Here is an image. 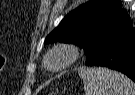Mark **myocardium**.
I'll use <instances>...</instances> for the list:
<instances>
[{
  "label": "myocardium",
  "instance_id": "1",
  "mask_svg": "<svg viewBox=\"0 0 135 95\" xmlns=\"http://www.w3.org/2000/svg\"><path fill=\"white\" fill-rule=\"evenodd\" d=\"M57 53L64 54L66 57V60L62 65L52 68L48 65V61L54 54H57ZM79 57H80V51L76 45L71 44V43H62V44L54 46L52 49L49 50V52L46 54L44 58L43 63L47 70L52 71V72H57L72 65L74 62H76L79 59Z\"/></svg>",
  "mask_w": 135,
  "mask_h": 95
}]
</instances>
